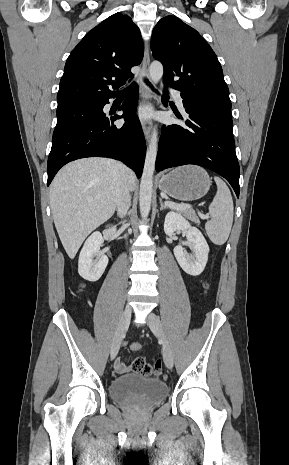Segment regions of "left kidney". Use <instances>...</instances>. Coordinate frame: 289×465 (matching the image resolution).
I'll use <instances>...</instances> for the list:
<instances>
[{"label":"left kidney","mask_w":289,"mask_h":465,"mask_svg":"<svg viewBox=\"0 0 289 465\" xmlns=\"http://www.w3.org/2000/svg\"><path fill=\"white\" fill-rule=\"evenodd\" d=\"M164 231L170 236L175 231H183L186 234L188 245L193 250V254H188L182 246L178 245L174 248V255L180 267L187 274L200 275L205 269L209 253V246L200 230L191 226L181 214L170 211L165 217Z\"/></svg>","instance_id":"obj_1"}]
</instances>
